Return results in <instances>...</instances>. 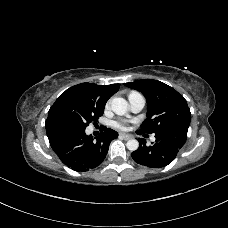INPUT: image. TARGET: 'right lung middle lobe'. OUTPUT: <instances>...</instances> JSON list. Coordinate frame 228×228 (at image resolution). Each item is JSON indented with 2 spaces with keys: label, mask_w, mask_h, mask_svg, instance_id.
<instances>
[{
  "label": "right lung middle lobe",
  "mask_w": 228,
  "mask_h": 228,
  "mask_svg": "<svg viewBox=\"0 0 228 228\" xmlns=\"http://www.w3.org/2000/svg\"><path fill=\"white\" fill-rule=\"evenodd\" d=\"M104 103L74 91H65L48 111L45 124L62 123L85 129L104 113Z\"/></svg>",
  "instance_id": "dd1d6c3e"
}]
</instances>
